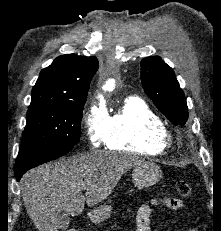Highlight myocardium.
I'll use <instances>...</instances> for the list:
<instances>
[{
	"label": "myocardium",
	"mask_w": 221,
	"mask_h": 231,
	"mask_svg": "<svg viewBox=\"0 0 221 231\" xmlns=\"http://www.w3.org/2000/svg\"><path fill=\"white\" fill-rule=\"evenodd\" d=\"M163 143L166 145H170L172 143V137L168 132H165L164 136H163Z\"/></svg>",
	"instance_id": "f54148a6"
}]
</instances>
